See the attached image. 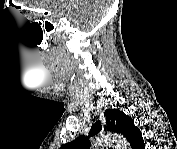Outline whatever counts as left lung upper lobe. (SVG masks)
Returning a JSON list of instances; mask_svg holds the SVG:
<instances>
[{
    "instance_id": "obj_1",
    "label": "left lung upper lobe",
    "mask_w": 177,
    "mask_h": 149,
    "mask_svg": "<svg viewBox=\"0 0 177 149\" xmlns=\"http://www.w3.org/2000/svg\"><path fill=\"white\" fill-rule=\"evenodd\" d=\"M106 126L108 131L122 134L131 144L133 149L140 148L143 142L140 130L134 125L132 118L117 109L105 111ZM102 129L100 121H97L91 128L89 137L94 136ZM89 137L79 136L75 140L63 145L62 149H88L90 146Z\"/></svg>"
}]
</instances>
